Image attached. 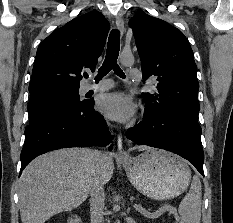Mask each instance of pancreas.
<instances>
[{"label": "pancreas", "mask_w": 233, "mask_h": 223, "mask_svg": "<svg viewBox=\"0 0 233 223\" xmlns=\"http://www.w3.org/2000/svg\"><path fill=\"white\" fill-rule=\"evenodd\" d=\"M165 209H169L170 213H177L176 207H172V205H167V207H160V209H157V211H159V213H163Z\"/></svg>", "instance_id": "1"}]
</instances>
